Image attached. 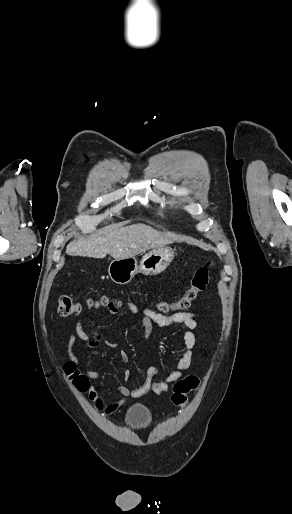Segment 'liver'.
Wrapping results in <instances>:
<instances>
[{
    "instance_id": "obj_1",
    "label": "liver",
    "mask_w": 292,
    "mask_h": 514,
    "mask_svg": "<svg viewBox=\"0 0 292 514\" xmlns=\"http://www.w3.org/2000/svg\"><path fill=\"white\" fill-rule=\"evenodd\" d=\"M174 238V234L163 236L157 230H153L151 226L145 224H133V226H125L114 230L110 234L97 232L92 234L88 240H73L66 248V254L69 256H88V258H105L106 254L115 258V260H123V258H131L138 256L146 250L152 248H162L166 244H170Z\"/></svg>"
}]
</instances>
